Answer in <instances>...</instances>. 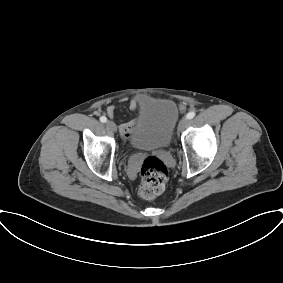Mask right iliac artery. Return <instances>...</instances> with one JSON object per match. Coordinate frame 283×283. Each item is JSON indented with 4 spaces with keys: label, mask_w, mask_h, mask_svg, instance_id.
<instances>
[{
    "label": "right iliac artery",
    "mask_w": 283,
    "mask_h": 283,
    "mask_svg": "<svg viewBox=\"0 0 283 283\" xmlns=\"http://www.w3.org/2000/svg\"><path fill=\"white\" fill-rule=\"evenodd\" d=\"M100 121L102 123H105L107 121V118L105 116L100 117Z\"/></svg>",
    "instance_id": "82829eb1"
}]
</instances>
